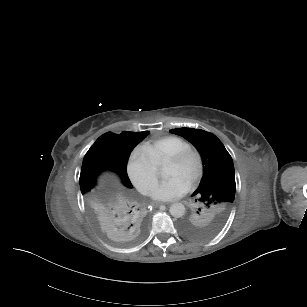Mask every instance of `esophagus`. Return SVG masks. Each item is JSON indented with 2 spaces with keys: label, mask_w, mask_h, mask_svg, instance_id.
I'll use <instances>...</instances> for the list:
<instances>
[{
  "label": "esophagus",
  "mask_w": 307,
  "mask_h": 307,
  "mask_svg": "<svg viewBox=\"0 0 307 307\" xmlns=\"http://www.w3.org/2000/svg\"><path fill=\"white\" fill-rule=\"evenodd\" d=\"M152 205L154 207H160L162 204L161 203H158V202H153Z\"/></svg>",
  "instance_id": "obj_1"
}]
</instances>
